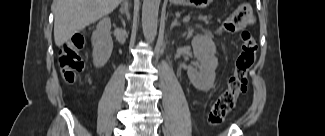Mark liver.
Here are the masks:
<instances>
[{
  "label": "liver",
  "instance_id": "obj_1",
  "mask_svg": "<svg viewBox=\"0 0 325 136\" xmlns=\"http://www.w3.org/2000/svg\"><path fill=\"white\" fill-rule=\"evenodd\" d=\"M122 0H54V40L66 43L75 33L111 13Z\"/></svg>",
  "mask_w": 325,
  "mask_h": 136
}]
</instances>
